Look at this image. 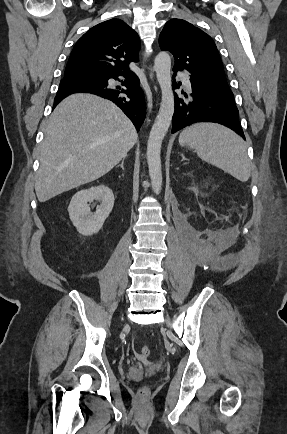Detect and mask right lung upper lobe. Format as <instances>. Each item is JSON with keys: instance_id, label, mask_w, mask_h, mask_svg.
Here are the masks:
<instances>
[{"instance_id": "1", "label": "right lung upper lobe", "mask_w": 287, "mask_h": 434, "mask_svg": "<svg viewBox=\"0 0 287 434\" xmlns=\"http://www.w3.org/2000/svg\"><path fill=\"white\" fill-rule=\"evenodd\" d=\"M138 34L120 19H110L89 29L75 44L65 76L104 75L129 71V63L138 61Z\"/></svg>"}]
</instances>
